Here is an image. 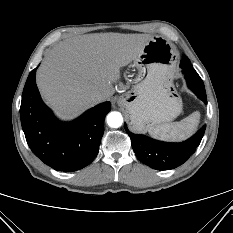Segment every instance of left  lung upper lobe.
Returning <instances> with one entry per match:
<instances>
[{"mask_svg":"<svg viewBox=\"0 0 233 233\" xmlns=\"http://www.w3.org/2000/svg\"><path fill=\"white\" fill-rule=\"evenodd\" d=\"M199 80H200V82H203L202 80H201V78L199 77Z\"/></svg>","mask_w":233,"mask_h":233,"instance_id":"1","label":"left lung upper lobe"}]
</instances>
